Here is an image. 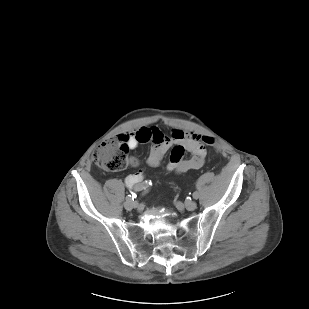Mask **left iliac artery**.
<instances>
[{
	"label": "left iliac artery",
	"instance_id": "1",
	"mask_svg": "<svg viewBox=\"0 0 309 309\" xmlns=\"http://www.w3.org/2000/svg\"><path fill=\"white\" fill-rule=\"evenodd\" d=\"M192 196H193L194 199H198L199 194L197 192H194Z\"/></svg>",
	"mask_w": 309,
	"mask_h": 309
}]
</instances>
